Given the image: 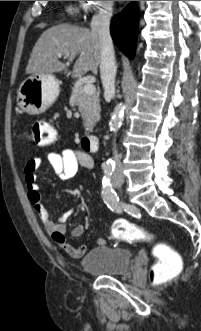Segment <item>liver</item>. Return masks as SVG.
<instances>
[{
    "label": "liver",
    "instance_id": "obj_1",
    "mask_svg": "<svg viewBox=\"0 0 201 331\" xmlns=\"http://www.w3.org/2000/svg\"><path fill=\"white\" fill-rule=\"evenodd\" d=\"M58 53L67 58L59 61ZM79 54L72 77L81 78L88 71L97 74L101 62L99 37L87 28L60 24L42 33L37 40L26 67V74L62 72Z\"/></svg>",
    "mask_w": 201,
    "mask_h": 331
}]
</instances>
